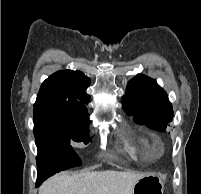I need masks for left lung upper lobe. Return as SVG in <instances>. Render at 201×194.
<instances>
[{"mask_svg":"<svg viewBox=\"0 0 201 194\" xmlns=\"http://www.w3.org/2000/svg\"><path fill=\"white\" fill-rule=\"evenodd\" d=\"M123 105L127 115H133L137 123L160 132L165 131L174 116L165 91L156 80L145 75L129 81Z\"/></svg>","mask_w":201,"mask_h":194,"instance_id":"5c2ea615","label":"left lung upper lobe"}]
</instances>
